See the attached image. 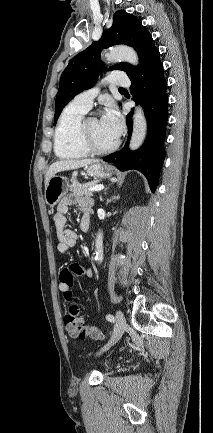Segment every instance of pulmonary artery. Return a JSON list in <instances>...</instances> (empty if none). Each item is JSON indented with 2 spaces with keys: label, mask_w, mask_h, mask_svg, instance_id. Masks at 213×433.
Wrapping results in <instances>:
<instances>
[{
  "label": "pulmonary artery",
  "mask_w": 213,
  "mask_h": 433,
  "mask_svg": "<svg viewBox=\"0 0 213 433\" xmlns=\"http://www.w3.org/2000/svg\"><path fill=\"white\" fill-rule=\"evenodd\" d=\"M107 80L114 86L127 87L130 85V80L127 75L119 71L112 72ZM98 92L99 89L96 87L85 90L76 95L72 102L88 111L91 108L93 100L97 96Z\"/></svg>",
  "instance_id": "pulmonary-artery-1"
}]
</instances>
